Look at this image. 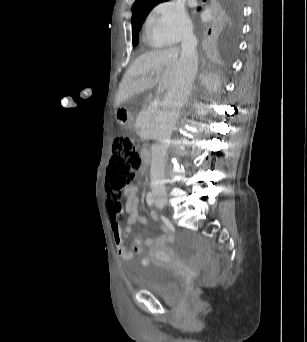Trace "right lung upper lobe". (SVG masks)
Masks as SVG:
<instances>
[{"label":"right lung upper lobe","mask_w":307,"mask_h":342,"mask_svg":"<svg viewBox=\"0 0 307 342\" xmlns=\"http://www.w3.org/2000/svg\"><path fill=\"white\" fill-rule=\"evenodd\" d=\"M166 0H136L132 6V35L138 34L149 11ZM200 9V8H199ZM237 12L236 0H209L204 11L202 32L210 41H219L228 32Z\"/></svg>","instance_id":"1"}]
</instances>
